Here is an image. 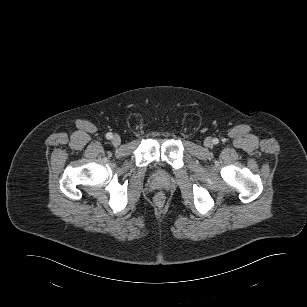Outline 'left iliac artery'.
Segmentation results:
<instances>
[{"instance_id":"left-iliac-artery-1","label":"left iliac artery","mask_w":307,"mask_h":307,"mask_svg":"<svg viewBox=\"0 0 307 307\" xmlns=\"http://www.w3.org/2000/svg\"><path fill=\"white\" fill-rule=\"evenodd\" d=\"M214 143H217V141H216V140H214Z\"/></svg>"}]
</instances>
